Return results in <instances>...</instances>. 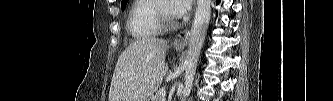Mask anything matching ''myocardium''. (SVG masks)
I'll return each mask as SVG.
<instances>
[{"label": "myocardium", "mask_w": 333, "mask_h": 101, "mask_svg": "<svg viewBox=\"0 0 333 101\" xmlns=\"http://www.w3.org/2000/svg\"><path fill=\"white\" fill-rule=\"evenodd\" d=\"M156 13L162 29L168 30L177 26L176 19L171 16V14H169L165 9V1H158Z\"/></svg>", "instance_id": "1"}]
</instances>
